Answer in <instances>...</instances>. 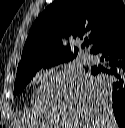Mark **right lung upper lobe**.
Masks as SVG:
<instances>
[{"label":"right lung upper lobe","mask_w":125,"mask_h":128,"mask_svg":"<svg viewBox=\"0 0 125 128\" xmlns=\"http://www.w3.org/2000/svg\"><path fill=\"white\" fill-rule=\"evenodd\" d=\"M125 26V5L121 0H57L33 23L23 48L18 70L53 58L73 59L70 46L60 38H83L91 50ZM84 44L82 45V47Z\"/></svg>","instance_id":"cb5924a9"}]
</instances>
